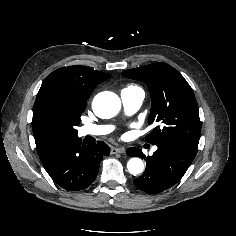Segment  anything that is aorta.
<instances>
[{"instance_id": "aorta-1", "label": "aorta", "mask_w": 236, "mask_h": 236, "mask_svg": "<svg viewBox=\"0 0 236 236\" xmlns=\"http://www.w3.org/2000/svg\"><path fill=\"white\" fill-rule=\"evenodd\" d=\"M92 106L97 116L112 118L120 111L121 101L115 93L104 91L95 96ZM127 169L132 175L136 176L143 172L144 163L140 158H131L127 163Z\"/></svg>"}]
</instances>
